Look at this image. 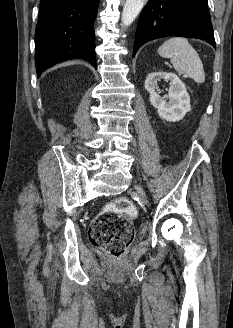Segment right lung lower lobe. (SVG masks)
I'll return each mask as SVG.
<instances>
[{
	"label": "right lung lower lobe",
	"mask_w": 233,
	"mask_h": 328,
	"mask_svg": "<svg viewBox=\"0 0 233 328\" xmlns=\"http://www.w3.org/2000/svg\"><path fill=\"white\" fill-rule=\"evenodd\" d=\"M99 0H41L35 33L37 75L69 59H85L96 69L95 33Z\"/></svg>",
	"instance_id": "98d812e1"
}]
</instances>
